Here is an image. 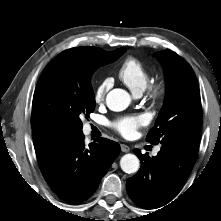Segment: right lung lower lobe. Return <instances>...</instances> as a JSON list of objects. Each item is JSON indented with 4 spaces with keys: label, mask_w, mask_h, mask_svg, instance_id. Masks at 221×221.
I'll return each mask as SVG.
<instances>
[{
    "label": "right lung lower lobe",
    "mask_w": 221,
    "mask_h": 221,
    "mask_svg": "<svg viewBox=\"0 0 221 221\" xmlns=\"http://www.w3.org/2000/svg\"><path fill=\"white\" fill-rule=\"evenodd\" d=\"M89 147L82 132L54 134L34 141L42 174L63 200L81 203L97 189L120 152L117 142L96 138Z\"/></svg>",
    "instance_id": "1"
}]
</instances>
